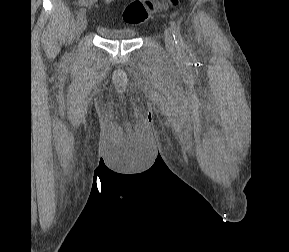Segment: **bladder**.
<instances>
[{
	"instance_id": "bladder-1",
	"label": "bladder",
	"mask_w": 289,
	"mask_h": 252,
	"mask_svg": "<svg viewBox=\"0 0 289 252\" xmlns=\"http://www.w3.org/2000/svg\"><path fill=\"white\" fill-rule=\"evenodd\" d=\"M98 35L107 40H130L136 37V31L131 28H111L99 26L96 29Z\"/></svg>"
}]
</instances>
